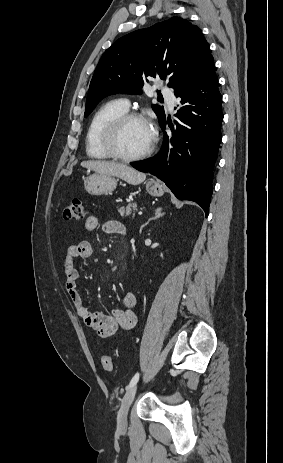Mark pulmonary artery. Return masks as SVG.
<instances>
[{
    "mask_svg": "<svg viewBox=\"0 0 283 463\" xmlns=\"http://www.w3.org/2000/svg\"><path fill=\"white\" fill-rule=\"evenodd\" d=\"M161 93L163 97L168 101L170 109H172L175 105V95L172 90L167 89V88H162ZM124 105L128 108L130 103L128 100H123Z\"/></svg>",
    "mask_w": 283,
    "mask_h": 463,
    "instance_id": "obj_1",
    "label": "pulmonary artery"
}]
</instances>
